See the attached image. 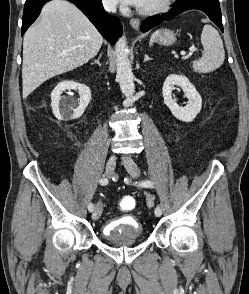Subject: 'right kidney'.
Here are the masks:
<instances>
[{"mask_svg":"<svg viewBox=\"0 0 249 294\" xmlns=\"http://www.w3.org/2000/svg\"><path fill=\"white\" fill-rule=\"evenodd\" d=\"M66 90H78L80 98L78 103L73 98L62 97ZM91 100V90L85 84L74 81H62L53 89L51 93V106L53 114L60 120H70L79 118ZM76 105H78L76 107Z\"/></svg>","mask_w":249,"mask_h":294,"instance_id":"obj_1","label":"right kidney"}]
</instances>
